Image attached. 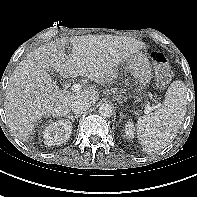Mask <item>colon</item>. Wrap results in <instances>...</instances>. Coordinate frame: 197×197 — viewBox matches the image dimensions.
I'll list each match as a JSON object with an SVG mask.
<instances>
[{
    "label": "colon",
    "instance_id": "obj_1",
    "mask_svg": "<svg viewBox=\"0 0 197 197\" xmlns=\"http://www.w3.org/2000/svg\"><path fill=\"white\" fill-rule=\"evenodd\" d=\"M150 60L155 67L159 86H166L171 79V70L166 56L160 51L153 50L150 53Z\"/></svg>",
    "mask_w": 197,
    "mask_h": 197
}]
</instances>
